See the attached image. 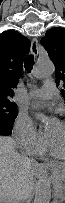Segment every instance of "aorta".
<instances>
[{
    "instance_id": "aorta-1",
    "label": "aorta",
    "mask_w": 65,
    "mask_h": 203,
    "mask_svg": "<svg viewBox=\"0 0 65 203\" xmlns=\"http://www.w3.org/2000/svg\"><path fill=\"white\" fill-rule=\"evenodd\" d=\"M55 66L50 59L39 60L33 75L37 79H43L53 75ZM46 120L44 116L41 117ZM51 179L48 176H42L35 188L33 203H50L51 200Z\"/></svg>"
}]
</instances>
